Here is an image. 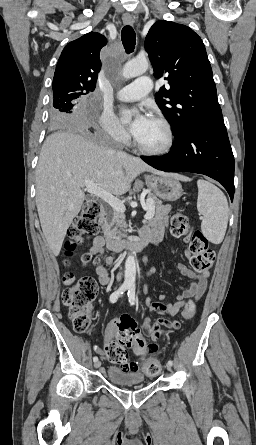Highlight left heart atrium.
<instances>
[{"mask_svg": "<svg viewBox=\"0 0 256 445\" xmlns=\"http://www.w3.org/2000/svg\"><path fill=\"white\" fill-rule=\"evenodd\" d=\"M149 121L150 117L146 113L142 111L135 113L133 116V120L129 126L131 134L135 137L138 136L149 123Z\"/></svg>", "mask_w": 256, "mask_h": 445, "instance_id": "obj_1", "label": "left heart atrium"}]
</instances>
